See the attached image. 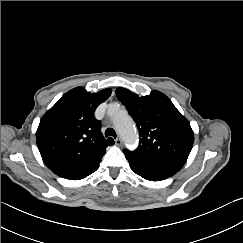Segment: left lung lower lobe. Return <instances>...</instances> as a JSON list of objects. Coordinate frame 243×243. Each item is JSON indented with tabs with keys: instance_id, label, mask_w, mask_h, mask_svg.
<instances>
[{
	"instance_id": "0a47b994",
	"label": "left lung lower lobe",
	"mask_w": 243,
	"mask_h": 243,
	"mask_svg": "<svg viewBox=\"0 0 243 243\" xmlns=\"http://www.w3.org/2000/svg\"><path fill=\"white\" fill-rule=\"evenodd\" d=\"M124 153L133 172L150 181L167 179L184 165L175 161L138 155L128 150H124Z\"/></svg>"
}]
</instances>
